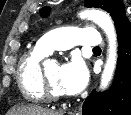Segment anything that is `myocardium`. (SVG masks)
I'll use <instances>...</instances> for the list:
<instances>
[{"mask_svg":"<svg viewBox=\"0 0 131 115\" xmlns=\"http://www.w3.org/2000/svg\"><path fill=\"white\" fill-rule=\"evenodd\" d=\"M41 90L46 100L56 102V101H61L64 99L61 95L55 94L51 90L44 69H41Z\"/></svg>","mask_w":131,"mask_h":115,"instance_id":"myocardium-1","label":"myocardium"}]
</instances>
